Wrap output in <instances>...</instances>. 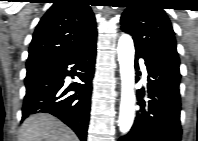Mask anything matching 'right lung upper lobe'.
Segmentation results:
<instances>
[{
  "mask_svg": "<svg viewBox=\"0 0 198 141\" xmlns=\"http://www.w3.org/2000/svg\"><path fill=\"white\" fill-rule=\"evenodd\" d=\"M95 35V17L86 0H56L36 27L26 67L68 55Z\"/></svg>",
  "mask_w": 198,
  "mask_h": 141,
  "instance_id": "obj_1",
  "label": "right lung upper lobe"
}]
</instances>
